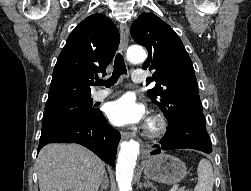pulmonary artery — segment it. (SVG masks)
Here are the masks:
<instances>
[{"mask_svg":"<svg viewBox=\"0 0 251 191\" xmlns=\"http://www.w3.org/2000/svg\"><path fill=\"white\" fill-rule=\"evenodd\" d=\"M134 73L132 75V80L136 83H140L144 80V73H142V68H134ZM112 92L111 88H105V89H101L96 91L92 97L95 101H100L103 100L105 98H107Z\"/></svg>","mask_w":251,"mask_h":191,"instance_id":"pulmonary-artery-1","label":"pulmonary artery"}]
</instances>
